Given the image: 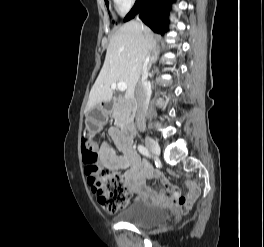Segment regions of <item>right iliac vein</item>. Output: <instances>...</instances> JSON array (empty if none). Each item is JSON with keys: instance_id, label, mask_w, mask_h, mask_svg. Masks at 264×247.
Here are the masks:
<instances>
[{"instance_id": "obj_1", "label": "right iliac vein", "mask_w": 264, "mask_h": 247, "mask_svg": "<svg viewBox=\"0 0 264 247\" xmlns=\"http://www.w3.org/2000/svg\"><path fill=\"white\" fill-rule=\"evenodd\" d=\"M145 144L147 148L155 155H159L160 153V148L158 143L150 136L146 135L145 136Z\"/></svg>"}]
</instances>
